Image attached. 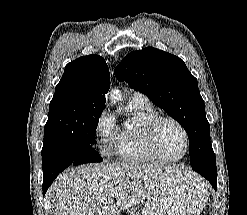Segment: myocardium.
<instances>
[{"instance_id": "obj_1", "label": "myocardium", "mask_w": 247, "mask_h": 215, "mask_svg": "<svg viewBox=\"0 0 247 215\" xmlns=\"http://www.w3.org/2000/svg\"><path fill=\"white\" fill-rule=\"evenodd\" d=\"M164 122H171V123L175 124L183 133L184 140H185V149L179 157L165 156L159 150L158 142H157V132H158L160 125ZM143 130H144V136H145L146 144H147L150 152L158 160L167 161V162H174V161H179V160L183 159L187 155V153L189 151V147H190V137H189V133H188L186 127L178 119L171 117V116H159V115H157L151 121H149L148 123L145 124Z\"/></svg>"}]
</instances>
